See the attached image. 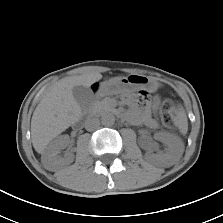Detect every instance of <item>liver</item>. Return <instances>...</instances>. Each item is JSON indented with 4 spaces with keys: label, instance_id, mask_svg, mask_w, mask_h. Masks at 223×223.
I'll return each mask as SVG.
<instances>
[{
    "label": "liver",
    "instance_id": "obj_1",
    "mask_svg": "<svg viewBox=\"0 0 223 223\" xmlns=\"http://www.w3.org/2000/svg\"><path fill=\"white\" fill-rule=\"evenodd\" d=\"M101 78L100 73L66 77L50 88L37 105L31 119L32 143L38 153L43 154L50 141L79 120L81 107L73 96V87H90ZM119 78L121 77L110 80Z\"/></svg>",
    "mask_w": 223,
    "mask_h": 223
}]
</instances>
